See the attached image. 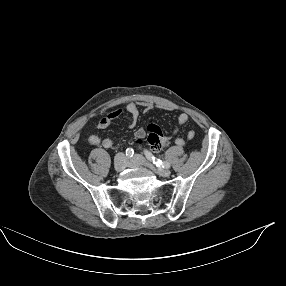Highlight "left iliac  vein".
<instances>
[{"instance_id": "left-iliac-vein-1", "label": "left iliac vein", "mask_w": 286, "mask_h": 286, "mask_svg": "<svg viewBox=\"0 0 286 286\" xmlns=\"http://www.w3.org/2000/svg\"><path fill=\"white\" fill-rule=\"evenodd\" d=\"M140 165H147L154 172H156L159 176H162V177H169L170 176V171L168 169L155 168L153 165L146 163L145 159L140 155H135L128 162L129 167L135 168V167H138Z\"/></svg>"}]
</instances>
